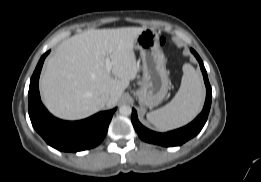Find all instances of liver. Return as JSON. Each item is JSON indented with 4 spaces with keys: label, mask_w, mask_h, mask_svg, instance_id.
<instances>
[{
    "label": "liver",
    "mask_w": 261,
    "mask_h": 182,
    "mask_svg": "<svg viewBox=\"0 0 261 182\" xmlns=\"http://www.w3.org/2000/svg\"><path fill=\"white\" fill-rule=\"evenodd\" d=\"M146 27L91 29L74 35L47 59L40 80L43 101L57 117L77 120L115 106L138 69L134 44ZM112 62L106 70V59ZM109 95L110 99L105 100Z\"/></svg>",
    "instance_id": "liver-1"
}]
</instances>
